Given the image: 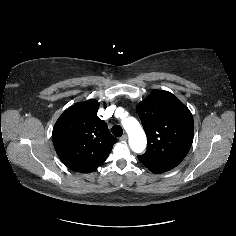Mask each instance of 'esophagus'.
<instances>
[{"mask_svg":"<svg viewBox=\"0 0 236 236\" xmlns=\"http://www.w3.org/2000/svg\"><path fill=\"white\" fill-rule=\"evenodd\" d=\"M127 138H128V137H127V135H126V134H124V135H123V136L120 138V140H121V141H126V140H127Z\"/></svg>","mask_w":236,"mask_h":236,"instance_id":"1","label":"esophagus"}]
</instances>
